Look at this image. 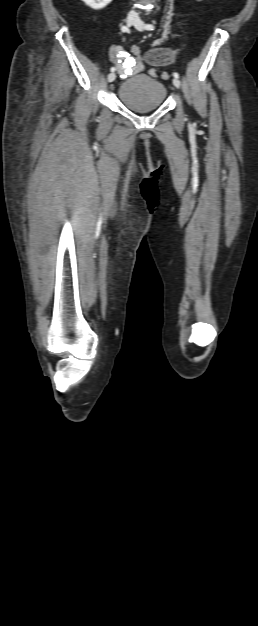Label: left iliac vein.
I'll return each mask as SVG.
<instances>
[{"label": "left iliac vein", "mask_w": 258, "mask_h": 626, "mask_svg": "<svg viewBox=\"0 0 258 626\" xmlns=\"http://www.w3.org/2000/svg\"><path fill=\"white\" fill-rule=\"evenodd\" d=\"M134 26L137 30L142 31L144 29V22L141 19H136ZM173 85L177 88H180V81L178 78H173L172 80Z\"/></svg>", "instance_id": "1"}]
</instances>
